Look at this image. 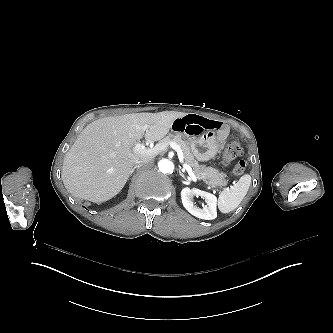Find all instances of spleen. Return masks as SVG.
<instances>
[{
    "instance_id": "obj_1",
    "label": "spleen",
    "mask_w": 333,
    "mask_h": 333,
    "mask_svg": "<svg viewBox=\"0 0 333 333\" xmlns=\"http://www.w3.org/2000/svg\"><path fill=\"white\" fill-rule=\"evenodd\" d=\"M251 185V176L243 175L239 181L227 190L219 194L217 207L221 213H229L235 210L247 195Z\"/></svg>"
}]
</instances>
